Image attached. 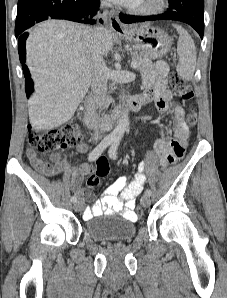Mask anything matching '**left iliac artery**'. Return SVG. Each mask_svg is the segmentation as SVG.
<instances>
[{"label": "left iliac artery", "instance_id": "left-iliac-artery-1", "mask_svg": "<svg viewBox=\"0 0 227 298\" xmlns=\"http://www.w3.org/2000/svg\"><path fill=\"white\" fill-rule=\"evenodd\" d=\"M119 138H115L110 149H109V157L112 158V159H116L117 158V149H118V146H119ZM145 194L150 196L151 195V190L150 189H147L145 191Z\"/></svg>", "mask_w": 227, "mask_h": 298}]
</instances>
